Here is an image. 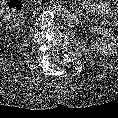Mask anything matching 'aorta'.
Masks as SVG:
<instances>
[{
  "mask_svg": "<svg viewBox=\"0 0 118 118\" xmlns=\"http://www.w3.org/2000/svg\"><path fill=\"white\" fill-rule=\"evenodd\" d=\"M41 21L43 23H51L54 19V14L52 11H44L42 14H41V17H40Z\"/></svg>",
  "mask_w": 118,
  "mask_h": 118,
  "instance_id": "762f6f07",
  "label": "aorta"
}]
</instances>
